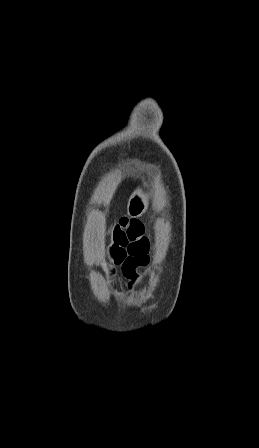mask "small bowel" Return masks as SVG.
I'll return each instance as SVG.
<instances>
[{"mask_svg": "<svg viewBox=\"0 0 259 448\" xmlns=\"http://www.w3.org/2000/svg\"><path fill=\"white\" fill-rule=\"evenodd\" d=\"M149 242L144 228L137 220H125L113 230L108 248L109 263L119 267L125 278L134 280L137 271L149 263Z\"/></svg>", "mask_w": 259, "mask_h": 448, "instance_id": "c3829d8e", "label": "small bowel"}]
</instances>
